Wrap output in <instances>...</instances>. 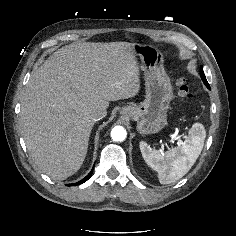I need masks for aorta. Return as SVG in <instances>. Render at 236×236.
<instances>
[{
    "label": "aorta",
    "mask_w": 236,
    "mask_h": 236,
    "mask_svg": "<svg viewBox=\"0 0 236 236\" xmlns=\"http://www.w3.org/2000/svg\"><path fill=\"white\" fill-rule=\"evenodd\" d=\"M126 135H127L126 129L122 126H115L111 130V138L113 139V141H116V142L124 141L126 138Z\"/></svg>",
    "instance_id": "aorta-1"
}]
</instances>
